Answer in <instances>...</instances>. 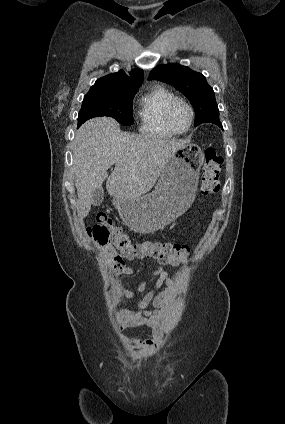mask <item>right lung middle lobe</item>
<instances>
[{
	"mask_svg": "<svg viewBox=\"0 0 285 424\" xmlns=\"http://www.w3.org/2000/svg\"><path fill=\"white\" fill-rule=\"evenodd\" d=\"M139 87H119L89 90L78 115V126L86 120L108 116L123 125L133 124L132 101Z\"/></svg>",
	"mask_w": 285,
	"mask_h": 424,
	"instance_id": "obj_1",
	"label": "right lung middle lobe"
}]
</instances>
